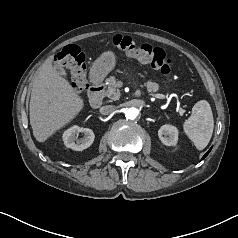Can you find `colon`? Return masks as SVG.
Instances as JSON below:
<instances>
[{
  "mask_svg": "<svg viewBox=\"0 0 238 238\" xmlns=\"http://www.w3.org/2000/svg\"><path fill=\"white\" fill-rule=\"evenodd\" d=\"M112 45L143 64L151 66L160 73L167 75L171 72L172 61L163 49L147 43L137 44L132 38L115 35L111 39ZM54 63L71 74V84L75 91L82 92L88 89L86 79L85 56L76 45L64 47L54 56Z\"/></svg>",
  "mask_w": 238,
  "mask_h": 238,
  "instance_id": "5ec220e1",
  "label": "colon"
}]
</instances>
